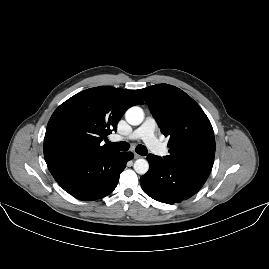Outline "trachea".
Masks as SVG:
<instances>
[{
	"label": "trachea",
	"mask_w": 269,
	"mask_h": 269,
	"mask_svg": "<svg viewBox=\"0 0 269 269\" xmlns=\"http://www.w3.org/2000/svg\"><path fill=\"white\" fill-rule=\"evenodd\" d=\"M107 144L109 146H111L112 148H114L115 150H118V151H127L128 148H129V145L126 142L112 143L110 141H107ZM136 152L141 156H145V155L148 154L147 148L144 145H141V144L136 147Z\"/></svg>",
	"instance_id": "obj_1"
}]
</instances>
